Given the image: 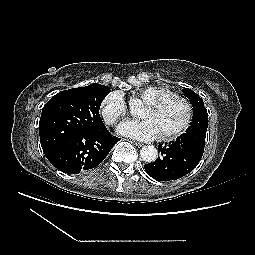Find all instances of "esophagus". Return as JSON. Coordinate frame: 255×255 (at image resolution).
I'll use <instances>...</instances> for the list:
<instances>
[{
  "instance_id": "1",
  "label": "esophagus",
  "mask_w": 255,
  "mask_h": 255,
  "mask_svg": "<svg viewBox=\"0 0 255 255\" xmlns=\"http://www.w3.org/2000/svg\"><path fill=\"white\" fill-rule=\"evenodd\" d=\"M135 146H137L138 148L142 147L143 144L137 141H131Z\"/></svg>"
}]
</instances>
